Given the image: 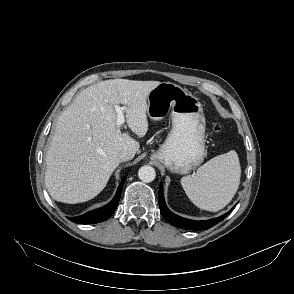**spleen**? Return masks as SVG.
<instances>
[{
	"instance_id": "spleen-1",
	"label": "spleen",
	"mask_w": 294,
	"mask_h": 294,
	"mask_svg": "<svg viewBox=\"0 0 294 294\" xmlns=\"http://www.w3.org/2000/svg\"><path fill=\"white\" fill-rule=\"evenodd\" d=\"M241 168L234 150L218 155L198 168L196 174L181 179L182 187L200 209L216 212L234 197L240 183Z\"/></svg>"
}]
</instances>
